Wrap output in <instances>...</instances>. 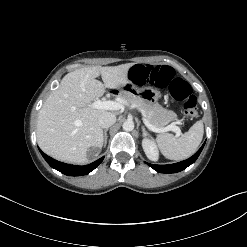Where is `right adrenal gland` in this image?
<instances>
[{
    "mask_svg": "<svg viewBox=\"0 0 247 247\" xmlns=\"http://www.w3.org/2000/svg\"><path fill=\"white\" fill-rule=\"evenodd\" d=\"M107 131H108V128L104 130V147H105L106 144H107V138H108V136H107Z\"/></svg>",
    "mask_w": 247,
    "mask_h": 247,
    "instance_id": "2a0ac1e0",
    "label": "right adrenal gland"
}]
</instances>
